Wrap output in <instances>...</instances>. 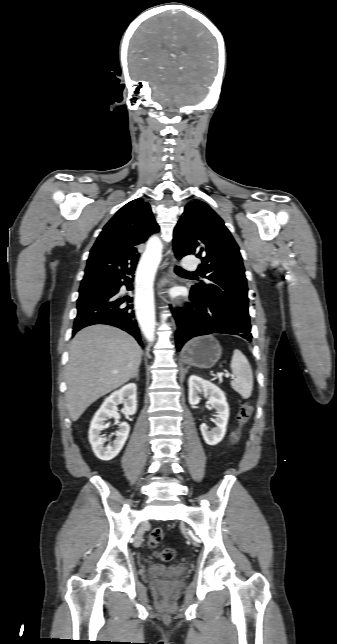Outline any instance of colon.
Returning a JSON list of instances; mask_svg holds the SVG:
<instances>
[{"label":"colon","mask_w":337,"mask_h":644,"mask_svg":"<svg viewBox=\"0 0 337 644\" xmlns=\"http://www.w3.org/2000/svg\"><path fill=\"white\" fill-rule=\"evenodd\" d=\"M251 412H252V407L250 406V404L246 400H241L240 407H239L237 417H236V424L233 427V429L231 431V434H230V438H229V442H230L231 445H234L239 441L240 436H241V429L247 423V421L249 420V418L251 416ZM163 538H164V534H163L162 529L155 528L149 534L148 545L151 548H156L162 543ZM158 556L164 561H170V560L174 559L175 551H174V549L166 548V549L162 550L161 552H159ZM168 592L169 591L166 588L165 591H164V595L166 596L168 594Z\"/></svg>","instance_id":"5ec220e1"}]
</instances>
